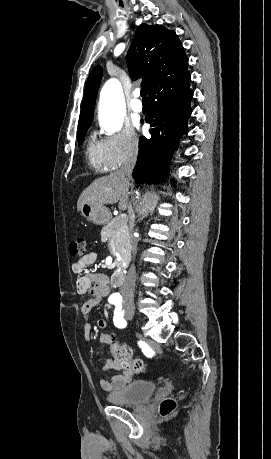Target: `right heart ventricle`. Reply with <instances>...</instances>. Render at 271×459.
Segmentation results:
<instances>
[{
	"label": "right heart ventricle",
	"mask_w": 271,
	"mask_h": 459,
	"mask_svg": "<svg viewBox=\"0 0 271 459\" xmlns=\"http://www.w3.org/2000/svg\"><path fill=\"white\" fill-rule=\"evenodd\" d=\"M86 159L90 167L95 170L109 169L99 145H96L92 139H89L86 145Z\"/></svg>",
	"instance_id": "obj_1"
}]
</instances>
